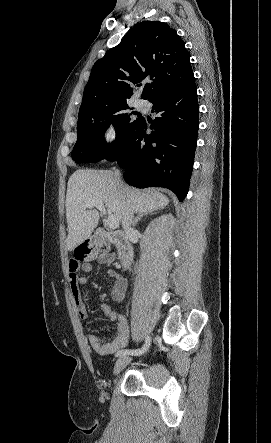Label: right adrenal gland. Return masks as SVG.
<instances>
[{
  "label": "right adrenal gland",
  "instance_id": "1",
  "mask_svg": "<svg viewBox=\"0 0 271 443\" xmlns=\"http://www.w3.org/2000/svg\"><path fill=\"white\" fill-rule=\"evenodd\" d=\"M153 212H156V210H151V212H139L136 218H134V222H132V225H137V222H140V220H142L144 216H148V214H153Z\"/></svg>",
  "mask_w": 271,
  "mask_h": 443
}]
</instances>
